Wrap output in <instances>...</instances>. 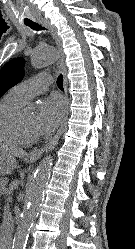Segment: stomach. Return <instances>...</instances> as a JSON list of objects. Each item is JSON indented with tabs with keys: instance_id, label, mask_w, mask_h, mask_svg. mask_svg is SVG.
Instances as JSON below:
<instances>
[{
	"instance_id": "1",
	"label": "stomach",
	"mask_w": 135,
	"mask_h": 249,
	"mask_svg": "<svg viewBox=\"0 0 135 249\" xmlns=\"http://www.w3.org/2000/svg\"><path fill=\"white\" fill-rule=\"evenodd\" d=\"M15 167L16 159L14 156L0 150V176L11 174Z\"/></svg>"
}]
</instances>
